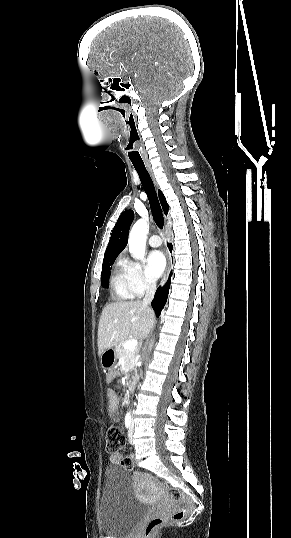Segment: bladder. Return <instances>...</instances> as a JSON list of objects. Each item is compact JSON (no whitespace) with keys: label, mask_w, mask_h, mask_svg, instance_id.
<instances>
[{"label":"bladder","mask_w":291,"mask_h":538,"mask_svg":"<svg viewBox=\"0 0 291 538\" xmlns=\"http://www.w3.org/2000/svg\"><path fill=\"white\" fill-rule=\"evenodd\" d=\"M149 509L134 496L129 473L119 466L107 467L99 503V524L105 538H126Z\"/></svg>","instance_id":"31cf9c89"}]
</instances>
